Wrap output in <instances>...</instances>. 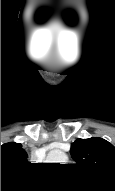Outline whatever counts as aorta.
<instances>
[{
	"instance_id": "762f6f07",
	"label": "aorta",
	"mask_w": 115,
	"mask_h": 191,
	"mask_svg": "<svg viewBox=\"0 0 115 191\" xmlns=\"http://www.w3.org/2000/svg\"><path fill=\"white\" fill-rule=\"evenodd\" d=\"M48 159L51 162L65 163V162H67L68 157L64 152H62L60 150H55L49 154Z\"/></svg>"
}]
</instances>
